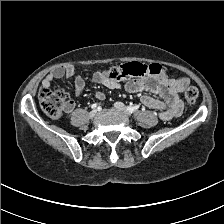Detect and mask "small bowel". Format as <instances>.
I'll use <instances>...</instances> for the list:
<instances>
[{"mask_svg":"<svg viewBox=\"0 0 224 224\" xmlns=\"http://www.w3.org/2000/svg\"><path fill=\"white\" fill-rule=\"evenodd\" d=\"M63 77L74 78L75 92L80 95L85 89V81L82 76L75 73L72 65H66L54 69L46 75L41 83V88H49L53 81ZM92 83L103 85L109 89H117L121 87L118 81L110 80L106 74L97 70L92 76ZM189 85V79L169 78L162 76L145 77L141 79L131 80L123 84L126 91L130 93L146 91L159 95L161 99L154 98L150 95H143L142 103L154 110L159 111L160 118L163 120H171L181 115L183 110V102L180 93ZM95 96L103 100L104 94L100 91ZM74 108V102L69 101L68 106L64 109L65 113H70Z\"/></svg>","mask_w":224,"mask_h":224,"instance_id":"1","label":"small bowel"}]
</instances>
